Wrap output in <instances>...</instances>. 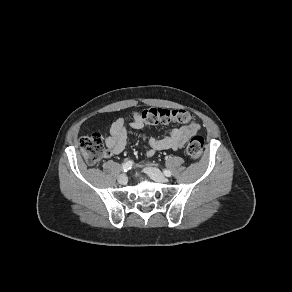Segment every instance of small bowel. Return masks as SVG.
<instances>
[{
	"instance_id": "1",
	"label": "small bowel",
	"mask_w": 292,
	"mask_h": 292,
	"mask_svg": "<svg viewBox=\"0 0 292 292\" xmlns=\"http://www.w3.org/2000/svg\"><path fill=\"white\" fill-rule=\"evenodd\" d=\"M186 121L178 122L181 125L172 129L170 133L163 138H149L147 156L152 157L158 151L178 150L194 136L199 130L200 125L192 118V115L186 111ZM145 124L142 113L134 112L131 115V121L128 126L136 131H140ZM128 144L127 124L124 118L115 120L109 132L105 136V145L107 147L104 156L109 158L121 153Z\"/></svg>"
}]
</instances>
